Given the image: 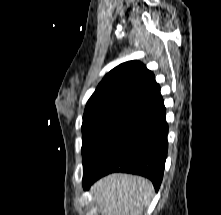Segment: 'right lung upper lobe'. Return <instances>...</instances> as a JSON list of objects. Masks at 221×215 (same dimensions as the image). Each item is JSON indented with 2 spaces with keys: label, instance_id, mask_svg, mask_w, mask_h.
<instances>
[{
  "label": "right lung upper lobe",
  "instance_id": "1",
  "mask_svg": "<svg viewBox=\"0 0 221 215\" xmlns=\"http://www.w3.org/2000/svg\"><path fill=\"white\" fill-rule=\"evenodd\" d=\"M160 96L153 73L139 61H128L106 74L87 104L119 103L138 109Z\"/></svg>",
  "mask_w": 221,
  "mask_h": 215
}]
</instances>
